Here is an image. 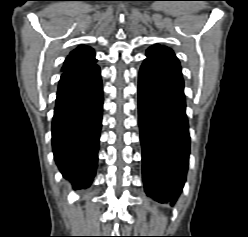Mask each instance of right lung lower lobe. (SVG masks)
<instances>
[{
  "label": "right lung lower lobe",
  "instance_id": "right-lung-lower-lobe-1",
  "mask_svg": "<svg viewBox=\"0 0 248 237\" xmlns=\"http://www.w3.org/2000/svg\"><path fill=\"white\" fill-rule=\"evenodd\" d=\"M102 81L96 64L62 74L52 123L55 161L75 189L96 172L102 122Z\"/></svg>",
  "mask_w": 248,
  "mask_h": 237
}]
</instances>
